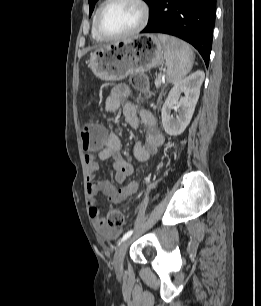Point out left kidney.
I'll return each instance as SVG.
<instances>
[{"label": "left kidney", "mask_w": 261, "mask_h": 306, "mask_svg": "<svg viewBox=\"0 0 261 306\" xmlns=\"http://www.w3.org/2000/svg\"><path fill=\"white\" fill-rule=\"evenodd\" d=\"M204 78L205 74L203 71H196L181 81L176 82L170 90L161 110L162 125L168 135H180L189 125ZM181 94H184V96ZM175 106L179 108L176 118L171 114V110Z\"/></svg>", "instance_id": "left-kidney-1"}]
</instances>
